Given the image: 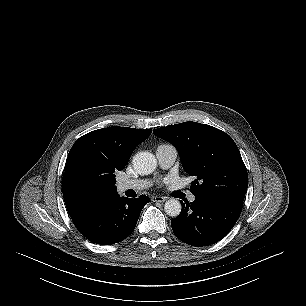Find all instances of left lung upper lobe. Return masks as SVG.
Wrapping results in <instances>:
<instances>
[{
	"instance_id": "1",
	"label": "left lung upper lobe",
	"mask_w": 306,
	"mask_h": 306,
	"mask_svg": "<svg viewBox=\"0 0 306 306\" xmlns=\"http://www.w3.org/2000/svg\"><path fill=\"white\" fill-rule=\"evenodd\" d=\"M153 133L176 147L183 169L197 178L190 187L195 197L244 200L248 175L239 149L228 134L197 122L169 125Z\"/></svg>"
}]
</instances>
